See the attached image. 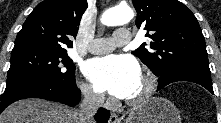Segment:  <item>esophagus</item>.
I'll return each mask as SVG.
<instances>
[{
  "instance_id": "34e87169",
  "label": "esophagus",
  "mask_w": 221,
  "mask_h": 123,
  "mask_svg": "<svg viewBox=\"0 0 221 123\" xmlns=\"http://www.w3.org/2000/svg\"><path fill=\"white\" fill-rule=\"evenodd\" d=\"M120 120L115 113H111L110 118H109V123H118Z\"/></svg>"
}]
</instances>
